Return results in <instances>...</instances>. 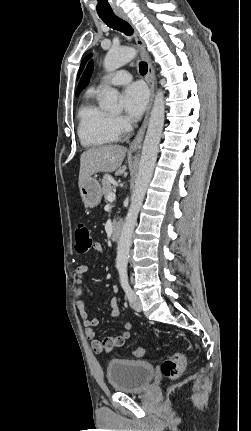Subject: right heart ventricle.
Returning a JSON list of instances; mask_svg holds the SVG:
<instances>
[{
  "instance_id": "1",
  "label": "right heart ventricle",
  "mask_w": 251,
  "mask_h": 431,
  "mask_svg": "<svg viewBox=\"0 0 251 431\" xmlns=\"http://www.w3.org/2000/svg\"><path fill=\"white\" fill-rule=\"evenodd\" d=\"M97 92L88 90L78 110V135L87 147L104 146L119 138L112 125V116L94 101Z\"/></svg>"
}]
</instances>
